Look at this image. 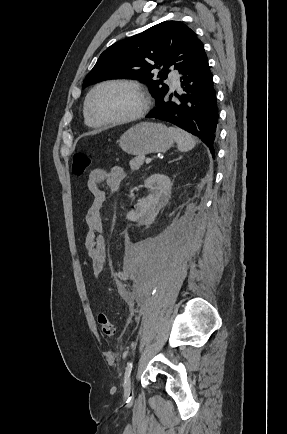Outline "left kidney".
<instances>
[{
  "label": "left kidney",
  "instance_id": "5707ae66",
  "mask_svg": "<svg viewBox=\"0 0 287 434\" xmlns=\"http://www.w3.org/2000/svg\"><path fill=\"white\" fill-rule=\"evenodd\" d=\"M145 185L149 188V195L146 199L139 200L135 210L127 214L129 220H140L147 210L165 202L171 194V181L163 174L150 176L145 180Z\"/></svg>",
  "mask_w": 287,
  "mask_h": 434
}]
</instances>
